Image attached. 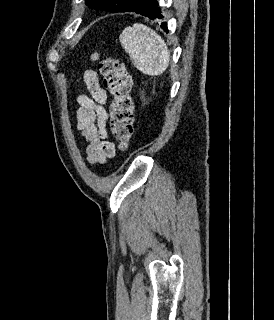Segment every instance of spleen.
Listing matches in <instances>:
<instances>
[{
  "label": "spleen",
  "mask_w": 274,
  "mask_h": 320,
  "mask_svg": "<svg viewBox=\"0 0 274 320\" xmlns=\"http://www.w3.org/2000/svg\"><path fill=\"white\" fill-rule=\"evenodd\" d=\"M121 46L129 54L134 68L147 76H160L169 66V50L154 30L133 24L128 26L119 36Z\"/></svg>",
  "instance_id": "spleen-1"
}]
</instances>
